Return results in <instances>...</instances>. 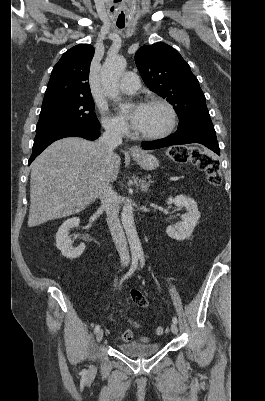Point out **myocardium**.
I'll list each match as a JSON object with an SVG mask.
<instances>
[{
  "label": "myocardium",
  "instance_id": "myocardium-1",
  "mask_svg": "<svg viewBox=\"0 0 265 401\" xmlns=\"http://www.w3.org/2000/svg\"><path fill=\"white\" fill-rule=\"evenodd\" d=\"M147 105L160 106L166 112L167 120L166 123L158 131L151 134H140L138 135V137L141 139L153 140L169 133L173 129L176 123V112L174 108L167 101L163 99H151L147 102Z\"/></svg>",
  "mask_w": 265,
  "mask_h": 401
}]
</instances>
